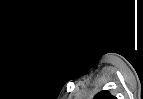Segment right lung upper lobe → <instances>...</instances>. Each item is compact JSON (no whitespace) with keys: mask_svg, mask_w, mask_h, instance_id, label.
Wrapping results in <instances>:
<instances>
[{"mask_svg":"<svg viewBox=\"0 0 143 99\" xmlns=\"http://www.w3.org/2000/svg\"><path fill=\"white\" fill-rule=\"evenodd\" d=\"M94 99H116V98L112 96L109 91H101L94 97Z\"/></svg>","mask_w":143,"mask_h":99,"instance_id":"1","label":"right lung upper lobe"}]
</instances>
